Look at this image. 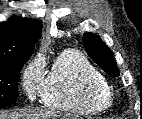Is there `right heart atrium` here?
I'll return each instance as SVG.
<instances>
[{
  "mask_svg": "<svg viewBox=\"0 0 142 119\" xmlns=\"http://www.w3.org/2000/svg\"><path fill=\"white\" fill-rule=\"evenodd\" d=\"M44 61L40 57L29 61L20 77L22 88L31 100L39 95L43 79Z\"/></svg>",
  "mask_w": 142,
  "mask_h": 119,
  "instance_id": "d8ad5b80",
  "label": "right heart atrium"
}]
</instances>
